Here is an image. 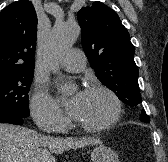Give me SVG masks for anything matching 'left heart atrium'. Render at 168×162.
Listing matches in <instances>:
<instances>
[{"instance_id": "39dd6f15", "label": "left heart atrium", "mask_w": 168, "mask_h": 162, "mask_svg": "<svg viewBox=\"0 0 168 162\" xmlns=\"http://www.w3.org/2000/svg\"><path fill=\"white\" fill-rule=\"evenodd\" d=\"M84 95V91L78 92L67 104L68 110L74 118H77L79 115Z\"/></svg>"}]
</instances>
